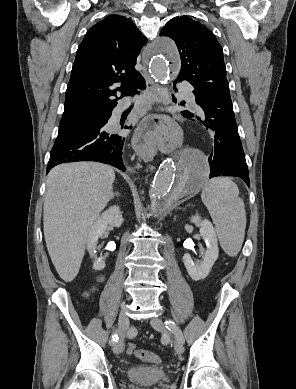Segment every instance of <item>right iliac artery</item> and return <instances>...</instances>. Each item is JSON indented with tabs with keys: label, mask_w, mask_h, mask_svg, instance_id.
Here are the masks:
<instances>
[{
	"label": "right iliac artery",
	"mask_w": 296,
	"mask_h": 389,
	"mask_svg": "<svg viewBox=\"0 0 296 389\" xmlns=\"http://www.w3.org/2000/svg\"><path fill=\"white\" fill-rule=\"evenodd\" d=\"M118 340V336L116 335V334H114L113 336H112V342L114 343V342H116Z\"/></svg>",
	"instance_id": "82829eb1"
}]
</instances>
